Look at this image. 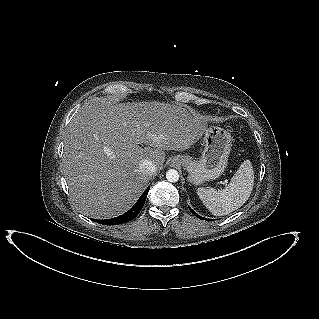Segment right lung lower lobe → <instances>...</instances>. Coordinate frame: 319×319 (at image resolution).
<instances>
[{
	"label": "right lung lower lobe",
	"instance_id": "1",
	"mask_svg": "<svg viewBox=\"0 0 319 319\" xmlns=\"http://www.w3.org/2000/svg\"><path fill=\"white\" fill-rule=\"evenodd\" d=\"M149 188L150 187H148L145 190V192L138 199L136 204L125 214L118 216V217H115V218H111V219L97 220V222L100 224H103V225H119V224L126 223V222L133 220L138 215V213L141 211V209L143 208L145 200L147 198Z\"/></svg>",
	"mask_w": 319,
	"mask_h": 319
}]
</instances>
